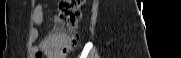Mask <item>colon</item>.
<instances>
[{"instance_id": "5ec220e1", "label": "colon", "mask_w": 181, "mask_h": 58, "mask_svg": "<svg viewBox=\"0 0 181 58\" xmlns=\"http://www.w3.org/2000/svg\"><path fill=\"white\" fill-rule=\"evenodd\" d=\"M84 0H64L59 3L54 18V31L48 37V49L55 55H67L79 40V21L82 18ZM38 53L36 58H42Z\"/></svg>"}]
</instances>
